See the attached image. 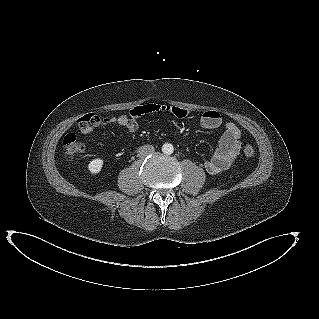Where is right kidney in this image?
<instances>
[{"mask_svg":"<svg viewBox=\"0 0 319 319\" xmlns=\"http://www.w3.org/2000/svg\"><path fill=\"white\" fill-rule=\"evenodd\" d=\"M102 167H103V160L100 158L93 159L88 164V170L90 171V173L94 175L98 174L101 171Z\"/></svg>","mask_w":319,"mask_h":319,"instance_id":"right-kidney-1","label":"right kidney"}]
</instances>
